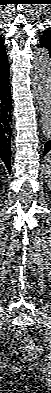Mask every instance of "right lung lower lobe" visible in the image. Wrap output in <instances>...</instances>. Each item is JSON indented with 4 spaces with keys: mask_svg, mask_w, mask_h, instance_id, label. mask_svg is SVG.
<instances>
[{
    "mask_svg": "<svg viewBox=\"0 0 51 393\" xmlns=\"http://www.w3.org/2000/svg\"><path fill=\"white\" fill-rule=\"evenodd\" d=\"M11 89L9 69L0 74V159L11 173Z\"/></svg>",
    "mask_w": 51,
    "mask_h": 393,
    "instance_id": "right-lung-lower-lobe-1",
    "label": "right lung lower lobe"
}]
</instances>
